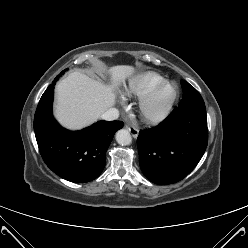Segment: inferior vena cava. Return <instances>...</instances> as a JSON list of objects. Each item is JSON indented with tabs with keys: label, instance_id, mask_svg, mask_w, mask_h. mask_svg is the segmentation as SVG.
I'll list each match as a JSON object with an SVG mask.
<instances>
[{
	"label": "inferior vena cava",
	"instance_id": "obj_1",
	"mask_svg": "<svg viewBox=\"0 0 248 248\" xmlns=\"http://www.w3.org/2000/svg\"><path fill=\"white\" fill-rule=\"evenodd\" d=\"M119 117V111L116 108H109L101 114V118L106 121L116 120Z\"/></svg>",
	"mask_w": 248,
	"mask_h": 248
}]
</instances>
